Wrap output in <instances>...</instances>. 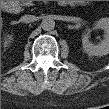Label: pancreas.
<instances>
[{
    "label": "pancreas",
    "instance_id": "cf45deb5",
    "mask_svg": "<svg viewBox=\"0 0 109 109\" xmlns=\"http://www.w3.org/2000/svg\"><path fill=\"white\" fill-rule=\"evenodd\" d=\"M22 4L24 6H31V5H33V2L32 1H22Z\"/></svg>",
    "mask_w": 109,
    "mask_h": 109
}]
</instances>
